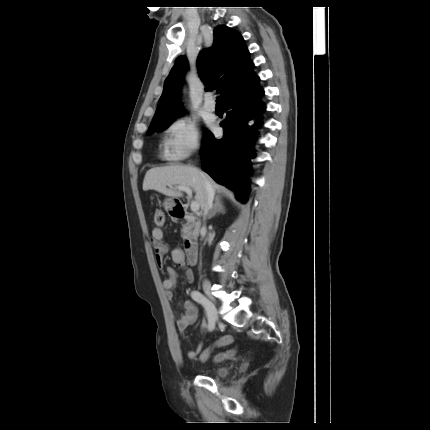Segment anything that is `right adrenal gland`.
Here are the masks:
<instances>
[{
	"mask_svg": "<svg viewBox=\"0 0 430 430\" xmlns=\"http://www.w3.org/2000/svg\"><path fill=\"white\" fill-rule=\"evenodd\" d=\"M224 212V206L219 198H216L215 204L213 208L210 210V213L208 215V220L214 217L217 213Z\"/></svg>",
	"mask_w": 430,
	"mask_h": 430,
	"instance_id": "2a0ac1e0",
	"label": "right adrenal gland"
}]
</instances>
